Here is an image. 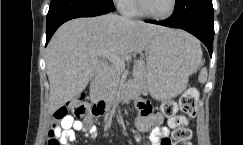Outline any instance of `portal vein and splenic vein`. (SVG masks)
I'll return each mask as SVG.
<instances>
[{"instance_id": "portal-vein-and-splenic-vein-1", "label": "portal vein and splenic vein", "mask_w": 243, "mask_h": 145, "mask_svg": "<svg viewBox=\"0 0 243 145\" xmlns=\"http://www.w3.org/2000/svg\"><path fill=\"white\" fill-rule=\"evenodd\" d=\"M97 55L104 56L108 58L112 63H114L119 69L124 70L125 69V62L124 59H122L120 56L113 54L108 51H98Z\"/></svg>"}]
</instances>
